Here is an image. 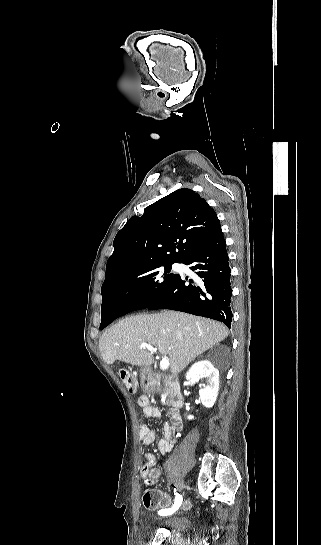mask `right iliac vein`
<instances>
[{"mask_svg": "<svg viewBox=\"0 0 321 545\" xmlns=\"http://www.w3.org/2000/svg\"><path fill=\"white\" fill-rule=\"evenodd\" d=\"M175 486H176V490L177 492H182L183 488H184V482L182 479H179V480H176L175 482Z\"/></svg>", "mask_w": 321, "mask_h": 545, "instance_id": "1", "label": "right iliac vein"}]
</instances>
